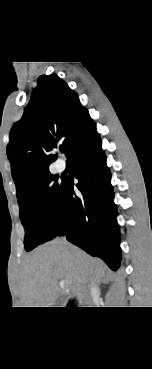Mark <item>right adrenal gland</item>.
Instances as JSON below:
<instances>
[{"mask_svg": "<svg viewBox=\"0 0 152 369\" xmlns=\"http://www.w3.org/2000/svg\"><path fill=\"white\" fill-rule=\"evenodd\" d=\"M100 283H108V280H107V278H106V275H105V274L103 275V279L101 280V282H97V285L99 286V285H100Z\"/></svg>", "mask_w": 152, "mask_h": 369, "instance_id": "right-adrenal-gland-1", "label": "right adrenal gland"}]
</instances>
